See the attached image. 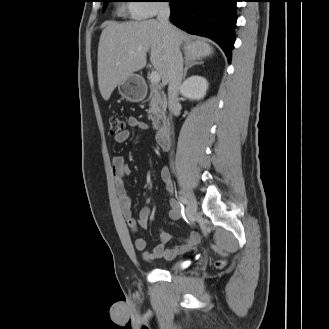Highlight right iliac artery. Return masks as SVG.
Here are the masks:
<instances>
[{"instance_id": "82829eb1", "label": "right iliac artery", "mask_w": 329, "mask_h": 329, "mask_svg": "<svg viewBox=\"0 0 329 329\" xmlns=\"http://www.w3.org/2000/svg\"><path fill=\"white\" fill-rule=\"evenodd\" d=\"M179 200L182 204H187L188 203V200L186 197H183V196H179Z\"/></svg>"}]
</instances>
